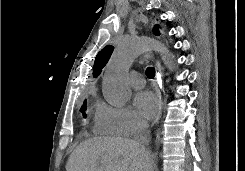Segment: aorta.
<instances>
[{"label":"aorta","mask_w":245,"mask_h":171,"mask_svg":"<svg viewBox=\"0 0 245 171\" xmlns=\"http://www.w3.org/2000/svg\"><path fill=\"white\" fill-rule=\"evenodd\" d=\"M160 53L164 65L174 71V56L159 41L149 37L124 38L112 55L103 79L102 93L106 101L115 107H124L131 99L127 74L135 59L148 51Z\"/></svg>","instance_id":"1"}]
</instances>
